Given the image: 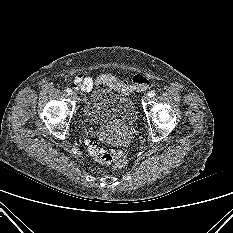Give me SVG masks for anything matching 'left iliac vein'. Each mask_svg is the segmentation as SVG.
<instances>
[{
  "instance_id": "1",
  "label": "left iliac vein",
  "mask_w": 233,
  "mask_h": 233,
  "mask_svg": "<svg viewBox=\"0 0 233 233\" xmlns=\"http://www.w3.org/2000/svg\"><path fill=\"white\" fill-rule=\"evenodd\" d=\"M148 100H149L148 94H146V95H144V96L142 97V101H143V102H147Z\"/></svg>"
}]
</instances>
